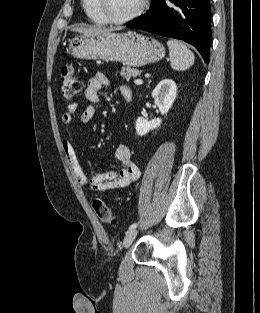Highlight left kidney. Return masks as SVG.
I'll return each instance as SVG.
<instances>
[{"mask_svg": "<svg viewBox=\"0 0 260 313\" xmlns=\"http://www.w3.org/2000/svg\"><path fill=\"white\" fill-rule=\"evenodd\" d=\"M177 95V86L172 79H163L152 91V98L162 115H166L171 109ZM162 123L161 118L151 121L139 117L136 121L135 129L139 136L146 135L149 131L158 128Z\"/></svg>", "mask_w": 260, "mask_h": 313, "instance_id": "1", "label": "left kidney"}]
</instances>
